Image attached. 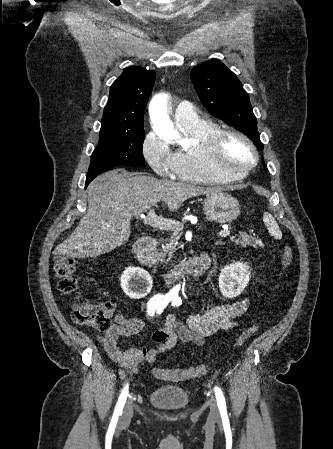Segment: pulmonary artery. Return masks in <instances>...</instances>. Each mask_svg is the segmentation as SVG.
<instances>
[{
  "label": "pulmonary artery",
  "instance_id": "pulmonary-artery-1",
  "mask_svg": "<svg viewBox=\"0 0 333 449\" xmlns=\"http://www.w3.org/2000/svg\"><path fill=\"white\" fill-rule=\"evenodd\" d=\"M174 118L178 124H192L199 120L194 106L188 101H182L177 106Z\"/></svg>",
  "mask_w": 333,
  "mask_h": 449
}]
</instances>
